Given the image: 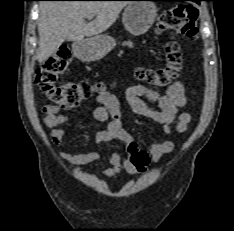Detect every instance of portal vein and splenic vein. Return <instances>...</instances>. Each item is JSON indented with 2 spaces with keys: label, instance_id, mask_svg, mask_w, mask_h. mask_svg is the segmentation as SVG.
<instances>
[{
  "label": "portal vein and splenic vein",
  "instance_id": "1",
  "mask_svg": "<svg viewBox=\"0 0 234 231\" xmlns=\"http://www.w3.org/2000/svg\"><path fill=\"white\" fill-rule=\"evenodd\" d=\"M94 17V15H90L88 16V19H92Z\"/></svg>",
  "mask_w": 234,
  "mask_h": 231
}]
</instances>
